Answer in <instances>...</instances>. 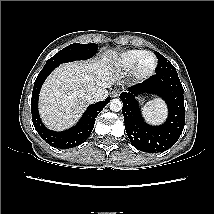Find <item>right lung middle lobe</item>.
Masks as SVG:
<instances>
[{"mask_svg": "<svg viewBox=\"0 0 214 214\" xmlns=\"http://www.w3.org/2000/svg\"><path fill=\"white\" fill-rule=\"evenodd\" d=\"M98 49V45L95 43L80 44L74 43L59 51L49 60H47L45 66H59L62 63L71 62L74 60H86L92 57Z\"/></svg>", "mask_w": 214, "mask_h": 214, "instance_id": "obj_1", "label": "right lung middle lobe"}]
</instances>
